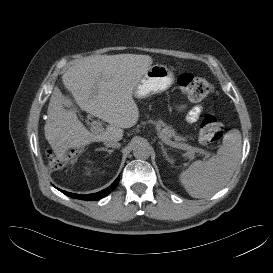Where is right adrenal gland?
<instances>
[{"label":"right adrenal gland","instance_id":"1","mask_svg":"<svg viewBox=\"0 0 273 273\" xmlns=\"http://www.w3.org/2000/svg\"><path fill=\"white\" fill-rule=\"evenodd\" d=\"M97 150H99V151H105V152H108L109 154H111L114 151L113 149H107V148H104V147H100Z\"/></svg>","mask_w":273,"mask_h":273}]
</instances>
